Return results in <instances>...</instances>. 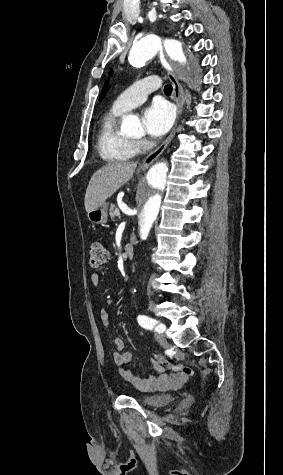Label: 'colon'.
Instances as JSON below:
<instances>
[{
	"mask_svg": "<svg viewBox=\"0 0 283 475\" xmlns=\"http://www.w3.org/2000/svg\"><path fill=\"white\" fill-rule=\"evenodd\" d=\"M109 252L98 242H94L90 246V264L92 267L102 266L107 262ZM150 362L158 369L167 367L171 371L177 373L180 378L198 376L199 371L192 366L174 362L172 359L164 358L158 353H152Z\"/></svg>",
	"mask_w": 283,
	"mask_h": 475,
	"instance_id": "obj_1",
	"label": "colon"
}]
</instances>
